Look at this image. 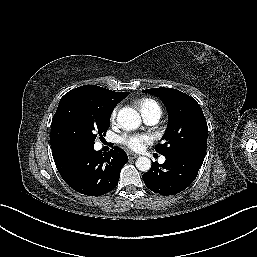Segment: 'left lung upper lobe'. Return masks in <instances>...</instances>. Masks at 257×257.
Returning a JSON list of instances; mask_svg holds the SVG:
<instances>
[{
  "mask_svg": "<svg viewBox=\"0 0 257 257\" xmlns=\"http://www.w3.org/2000/svg\"><path fill=\"white\" fill-rule=\"evenodd\" d=\"M160 97L168 111V125L162 144L155 150L162 155H188L204 160L208 128L200 105L189 95L171 88L144 90Z\"/></svg>",
  "mask_w": 257,
  "mask_h": 257,
  "instance_id": "5c2ea615",
  "label": "left lung upper lobe"
}]
</instances>
